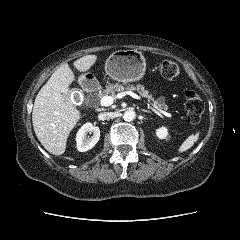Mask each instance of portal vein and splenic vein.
<instances>
[{"mask_svg": "<svg viewBox=\"0 0 240 240\" xmlns=\"http://www.w3.org/2000/svg\"><path fill=\"white\" fill-rule=\"evenodd\" d=\"M126 95H130L132 97H134V93L132 91H126V92H122V93H119L116 95V99H120V98H123L124 96ZM112 96H103L101 99H100V105L101 106H110L113 104V101L114 99ZM138 98V97H137ZM153 106V108H155L156 110H158L159 112H161L163 115H165L166 117H172L171 113H168L166 111H163L162 109H160L159 107H157L155 104H151Z\"/></svg>", "mask_w": 240, "mask_h": 240, "instance_id": "obj_1", "label": "portal vein and splenic vein"}]
</instances>
